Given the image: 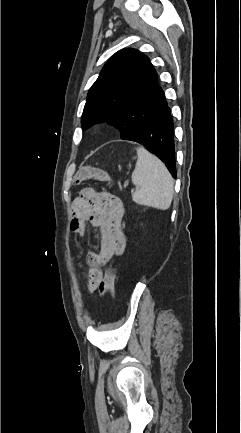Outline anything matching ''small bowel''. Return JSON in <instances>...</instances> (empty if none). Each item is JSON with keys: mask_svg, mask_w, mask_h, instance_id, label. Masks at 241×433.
<instances>
[{"mask_svg": "<svg viewBox=\"0 0 241 433\" xmlns=\"http://www.w3.org/2000/svg\"><path fill=\"white\" fill-rule=\"evenodd\" d=\"M124 216L123 203L117 196L100 192L93 188H84L71 205L70 229L82 235L87 220L98 231L99 247L97 251L86 254L88 276L94 273L102 275V267L114 256H120L126 248V236L122 228ZM91 293L95 289L89 286Z\"/></svg>", "mask_w": 241, "mask_h": 433, "instance_id": "1", "label": "small bowel"}]
</instances>
